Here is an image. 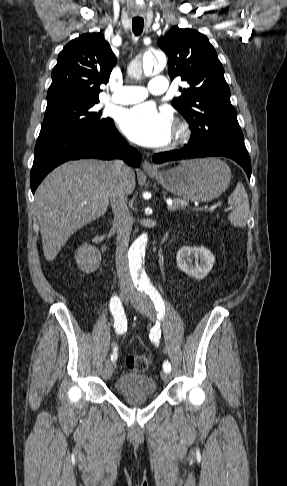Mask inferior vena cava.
<instances>
[{
  "label": "inferior vena cava",
  "instance_id": "1",
  "mask_svg": "<svg viewBox=\"0 0 287 486\" xmlns=\"http://www.w3.org/2000/svg\"><path fill=\"white\" fill-rule=\"evenodd\" d=\"M112 182L109 190L110 202L114 212V226L117 229L116 269L122 290H134L128 267V246L133 218L127 206L125 182L129 169L121 160L112 162Z\"/></svg>",
  "mask_w": 287,
  "mask_h": 486
}]
</instances>
